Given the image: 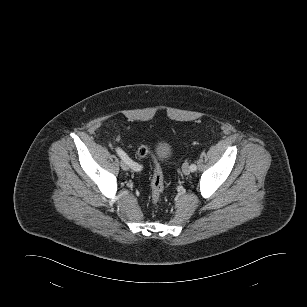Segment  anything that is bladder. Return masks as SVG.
Wrapping results in <instances>:
<instances>
[{
  "instance_id": "bladder-1",
  "label": "bladder",
  "mask_w": 307,
  "mask_h": 307,
  "mask_svg": "<svg viewBox=\"0 0 307 307\" xmlns=\"http://www.w3.org/2000/svg\"><path fill=\"white\" fill-rule=\"evenodd\" d=\"M155 154L160 161H167L171 156V148L166 143H159L155 148Z\"/></svg>"
}]
</instances>
